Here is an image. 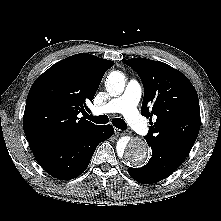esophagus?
<instances>
[{
	"label": "esophagus",
	"mask_w": 221,
	"mask_h": 221,
	"mask_svg": "<svg viewBox=\"0 0 221 221\" xmlns=\"http://www.w3.org/2000/svg\"><path fill=\"white\" fill-rule=\"evenodd\" d=\"M114 133H115V135H123V134H124V131L121 130V129L115 128V129H114Z\"/></svg>",
	"instance_id": "1"
}]
</instances>
